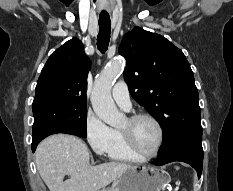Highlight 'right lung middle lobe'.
<instances>
[{"label": "right lung middle lobe", "mask_w": 233, "mask_h": 191, "mask_svg": "<svg viewBox=\"0 0 233 191\" xmlns=\"http://www.w3.org/2000/svg\"><path fill=\"white\" fill-rule=\"evenodd\" d=\"M33 137L49 131L86 137V105L57 99L33 101Z\"/></svg>", "instance_id": "obj_1"}]
</instances>
